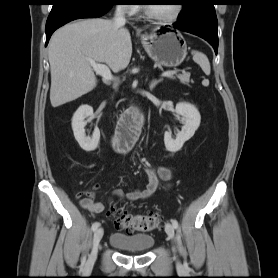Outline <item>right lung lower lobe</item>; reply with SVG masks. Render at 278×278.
<instances>
[{
  "label": "right lung lower lobe",
  "instance_id": "right-lung-lower-lobe-1",
  "mask_svg": "<svg viewBox=\"0 0 278 278\" xmlns=\"http://www.w3.org/2000/svg\"><path fill=\"white\" fill-rule=\"evenodd\" d=\"M112 6L67 0L52 7L45 29L46 45L52 33L62 25L75 19L100 17L106 14Z\"/></svg>",
  "mask_w": 278,
  "mask_h": 278
}]
</instances>
